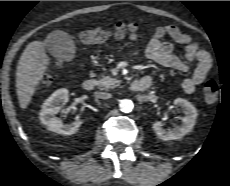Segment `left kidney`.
Masks as SVG:
<instances>
[{
	"mask_svg": "<svg viewBox=\"0 0 230 186\" xmlns=\"http://www.w3.org/2000/svg\"><path fill=\"white\" fill-rule=\"evenodd\" d=\"M174 104L181 106L185 113L180 126H176L171 130H166L163 128V124L160 121H156L152 125L156 135L164 141L180 139L187 133L191 132L197 118L196 108L186 99L177 98L174 100Z\"/></svg>",
	"mask_w": 230,
	"mask_h": 186,
	"instance_id": "obj_1",
	"label": "left kidney"
}]
</instances>
